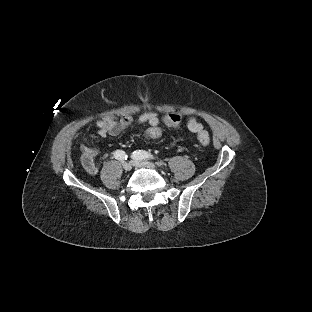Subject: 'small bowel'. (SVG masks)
Listing matches in <instances>:
<instances>
[{"mask_svg": "<svg viewBox=\"0 0 312 312\" xmlns=\"http://www.w3.org/2000/svg\"><path fill=\"white\" fill-rule=\"evenodd\" d=\"M138 123L160 125L159 115L155 112H145L138 118ZM133 122V117L130 114H125L121 118L107 116L96 122L97 135L99 137L117 136L124 131ZM188 130L193 134H198L203 130V124L195 117H189L186 121ZM97 150L87 145L81 146V163L85 171L90 175L98 173V166L94 159L97 156Z\"/></svg>", "mask_w": 312, "mask_h": 312, "instance_id": "1", "label": "small bowel"}]
</instances>
